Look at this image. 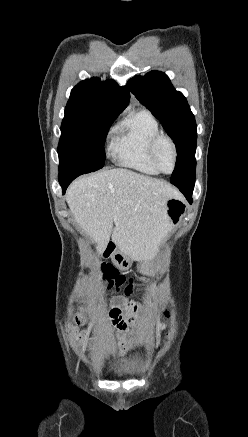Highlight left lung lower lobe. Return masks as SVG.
<instances>
[{
    "label": "left lung lower lobe",
    "instance_id": "obj_1",
    "mask_svg": "<svg viewBox=\"0 0 248 437\" xmlns=\"http://www.w3.org/2000/svg\"><path fill=\"white\" fill-rule=\"evenodd\" d=\"M179 189L184 194V196L187 198L189 203L191 204L192 203V192H193L194 187L187 188V189H185V188H179Z\"/></svg>",
    "mask_w": 248,
    "mask_h": 437
}]
</instances>
